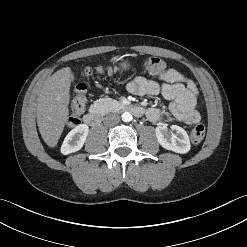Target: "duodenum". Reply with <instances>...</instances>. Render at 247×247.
Listing matches in <instances>:
<instances>
[{
	"label": "duodenum",
	"mask_w": 247,
	"mask_h": 247,
	"mask_svg": "<svg viewBox=\"0 0 247 247\" xmlns=\"http://www.w3.org/2000/svg\"><path fill=\"white\" fill-rule=\"evenodd\" d=\"M125 109L136 116H142L144 114V109L137 104H128L125 106ZM83 121L89 126H97L101 122V114L96 110H91L84 116Z\"/></svg>",
	"instance_id": "duodenum-1"
}]
</instances>
